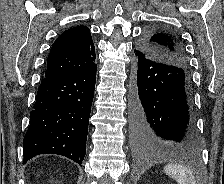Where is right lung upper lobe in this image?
Listing matches in <instances>:
<instances>
[{"mask_svg":"<svg viewBox=\"0 0 224 184\" xmlns=\"http://www.w3.org/2000/svg\"><path fill=\"white\" fill-rule=\"evenodd\" d=\"M95 61L90 30L77 26L64 31L53 43L45 77L61 76L88 68Z\"/></svg>","mask_w":224,"mask_h":184,"instance_id":"right-lung-upper-lobe-1","label":"right lung upper lobe"}]
</instances>
